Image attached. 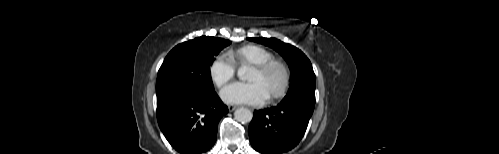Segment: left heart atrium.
Masks as SVG:
<instances>
[{
    "label": "left heart atrium",
    "mask_w": 499,
    "mask_h": 154,
    "mask_svg": "<svg viewBox=\"0 0 499 154\" xmlns=\"http://www.w3.org/2000/svg\"><path fill=\"white\" fill-rule=\"evenodd\" d=\"M226 103L232 104H263L268 95L263 86L258 82H235L226 86L220 93Z\"/></svg>",
    "instance_id": "39dd6f15"
}]
</instances>
